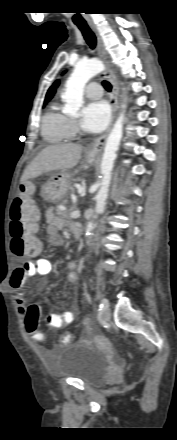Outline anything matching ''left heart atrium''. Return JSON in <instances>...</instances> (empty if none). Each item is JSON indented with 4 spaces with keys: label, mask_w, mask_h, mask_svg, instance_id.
Returning a JSON list of instances; mask_svg holds the SVG:
<instances>
[{
    "label": "left heart atrium",
    "mask_w": 177,
    "mask_h": 440,
    "mask_svg": "<svg viewBox=\"0 0 177 440\" xmlns=\"http://www.w3.org/2000/svg\"><path fill=\"white\" fill-rule=\"evenodd\" d=\"M110 111L103 101L88 103L81 113L80 125L83 130L91 133L101 132L108 124Z\"/></svg>",
    "instance_id": "obj_1"
}]
</instances>
